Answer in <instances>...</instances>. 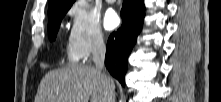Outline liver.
<instances>
[{
	"label": "liver",
	"mask_w": 221,
	"mask_h": 102,
	"mask_svg": "<svg viewBox=\"0 0 221 102\" xmlns=\"http://www.w3.org/2000/svg\"><path fill=\"white\" fill-rule=\"evenodd\" d=\"M114 82L93 66L73 65L48 72L35 102H108Z\"/></svg>",
	"instance_id": "liver-1"
}]
</instances>
